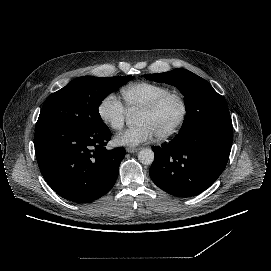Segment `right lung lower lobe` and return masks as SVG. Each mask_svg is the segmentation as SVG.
I'll return each mask as SVG.
<instances>
[{"label": "right lung lower lobe", "instance_id": "1", "mask_svg": "<svg viewBox=\"0 0 271 271\" xmlns=\"http://www.w3.org/2000/svg\"><path fill=\"white\" fill-rule=\"evenodd\" d=\"M110 138L106 125L90 130L58 125L35 130V153L45 181L58 195L77 203L105 195L125 156L123 147H104Z\"/></svg>", "mask_w": 271, "mask_h": 271}]
</instances>
